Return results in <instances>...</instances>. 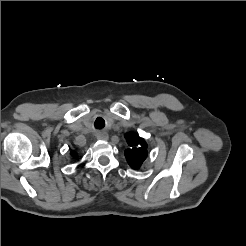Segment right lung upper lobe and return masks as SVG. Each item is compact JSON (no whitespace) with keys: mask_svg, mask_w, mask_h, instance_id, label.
Masks as SVG:
<instances>
[{"mask_svg":"<svg viewBox=\"0 0 246 246\" xmlns=\"http://www.w3.org/2000/svg\"><path fill=\"white\" fill-rule=\"evenodd\" d=\"M72 155H73V156H76V154H75V153H72Z\"/></svg>","mask_w":246,"mask_h":246,"instance_id":"obj_1","label":"right lung upper lobe"}]
</instances>
